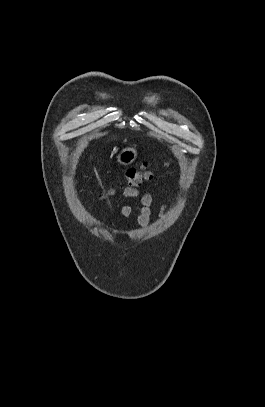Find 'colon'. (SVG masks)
<instances>
[{
  "label": "colon",
  "mask_w": 265,
  "mask_h": 407,
  "mask_svg": "<svg viewBox=\"0 0 265 407\" xmlns=\"http://www.w3.org/2000/svg\"><path fill=\"white\" fill-rule=\"evenodd\" d=\"M152 175L153 168H151L147 163H144L138 169H128L125 173L127 185L133 188L140 186L145 180L150 179Z\"/></svg>",
  "instance_id": "1"
}]
</instances>
